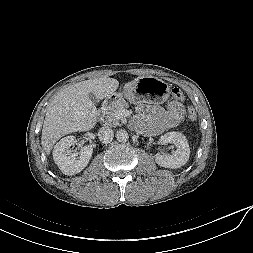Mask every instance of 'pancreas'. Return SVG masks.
<instances>
[{"label": "pancreas", "instance_id": "cf45deb5", "mask_svg": "<svg viewBox=\"0 0 253 253\" xmlns=\"http://www.w3.org/2000/svg\"><path fill=\"white\" fill-rule=\"evenodd\" d=\"M128 103L122 99L119 100L110 106L106 107L104 110H102V119L104 120L105 124L109 126H117L119 125V119L122 117H116V112L122 109L128 108Z\"/></svg>", "mask_w": 253, "mask_h": 253}]
</instances>
